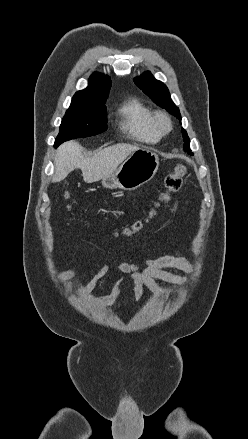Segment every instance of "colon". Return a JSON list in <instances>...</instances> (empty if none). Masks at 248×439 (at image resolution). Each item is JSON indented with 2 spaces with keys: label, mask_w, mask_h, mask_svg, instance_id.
<instances>
[{
  "label": "colon",
  "mask_w": 248,
  "mask_h": 439,
  "mask_svg": "<svg viewBox=\"0 0 248 439\" xmlns=\"http://www.w3.org/2000/svg\"><path fill=\"white\" fill-rule=\"evenodd\" d=\"M186 173V166L183 164H179L175 168V170L166 177L165 189L161 193L158 202L149 212L148 216L144 220L137 221L132 226L116 232L114 236L129 238L138 235L145 228V226L157 216L158 211L164 208L170 202L172 193L180 189L182 185V179L186 175ZM65 198H68V194H65Z\"/></svg>",
  "instance_id": "5ec220e1"
}]
</instances>
